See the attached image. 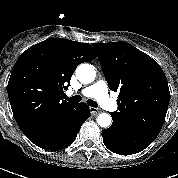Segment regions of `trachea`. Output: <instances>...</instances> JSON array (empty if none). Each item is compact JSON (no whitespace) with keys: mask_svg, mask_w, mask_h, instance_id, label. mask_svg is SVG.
Returning a JSON list of instances; mask_svg holds the SVG:
<instances>
[{"mask_svg":"<svg viewBox=\"0 0 178 178\" xmlns=\"http://www.w3.org/2000/svg\"><path fill=\"white\" fill-rule=\"evenodd\" d=\"M81 99L82 98L79 95H75V96H72L71 98H67V100H69L70 102H80ZM87 104L91 107H94V108H96L98 106L97 102H95L91 99L87 100Z\"/></svg>","mask_w":178,"mask_h":178,"instance_id":"trachea-1","label":"trachea"}]
</instances>
